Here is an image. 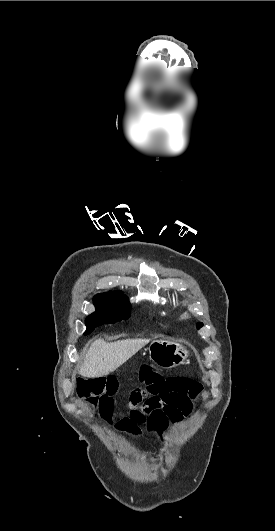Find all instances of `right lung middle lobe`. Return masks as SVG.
Instances as JSON below:
<instances>
[{
	"instance_id": "dd1d6c3e",
	"label": "right lung middle lobe",
	"mask_w": 275,
	"mask_h": 531,
	"mask_svg": "<svg viewBox=\"0 0 275 531\" xmlns=\"http://www.w3.org/2000/svg\"><path fill=\"white\" fill-rule=\"evenodd\" d=\"M93 302L96 311L87 316V329L84 334L91 333L95 327L102 324L116 323L130 316V303L127 296L121 292L97 294Z\"/></svg>"
}]
</instances>
